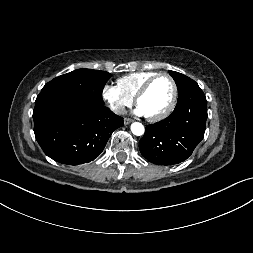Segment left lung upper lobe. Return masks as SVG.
Instances as JSON below:
<instances>
[{"mask_svg": "<svg viewBox=\"0 0 253 253\" xmlns=\"http://www.w3.org/2000/svg\"><path fill=\"white\" fill-rule=\"evenodd\" d=\"M170 75L173 77V79L176 82L177 88H178V97H180L183 93H185L189 87H191L196 82L189 77L175 72V71H169Z\"/></svg>", "mask_w": 253, "mask_h": 253, "instance_id": "1", "label": "left lung upper lobe"}]
</instances>
